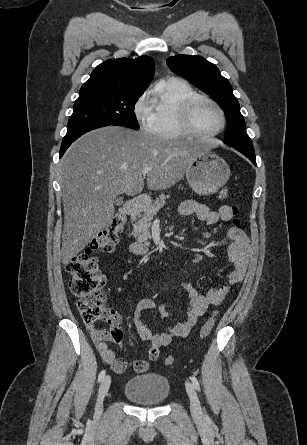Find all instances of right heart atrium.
Here are the masks:
<instances>
[{"mask_svg": "<svg viewBox=\"0 0 307 445\" xmlns=\"http://www.w3.org/2000/svg\"><path fill=\"white\" fill-rule=\"evenodd\" d=\"M152 95L153 91H145L139 98L134 110L138 124L144 128L152 125L153 122V112L149 108Z\"/></svg>", "mask_w": 307, "mask_h": 445, "instance_id": "d8ad5b80", "label": "right heart atrium"}]
</instances>
